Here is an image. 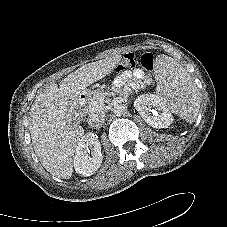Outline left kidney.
Listing matches in <instances>:
<instances>
[{"mask_svg":"<svg viewBox=\"0 0 227 227\" xmlns=\"http://www.w3.org/2000/svg\"><path fill=\"white\" fill-rule=\"evenodd\" d=\"M134 107L143 120L153 128H167L173 117L162 99L155 94H142L134 101Z\"/></svg>","mask_w":227,"mask_h":227,"instance_id":"left-kidney-1","label":"left kidney"}]
</instances>
